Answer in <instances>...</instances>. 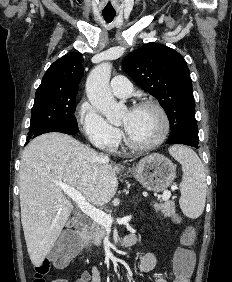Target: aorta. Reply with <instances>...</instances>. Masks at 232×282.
Here are the masks:
<instances>
[{
  "mask_svg": "<svg viewBox=\"0 0 232 282\" xmlns=\"http://www.w3.org/2000/svg\"><path fill=\"white\" fill-rule=\"evenodd\" d=\"M112 64L104 62L95 66L86 81V93L90 103L112 124L121 121L125 105L117 103L109 87Z\"/></svg>",
  "mask_w": 232,
  "mask_h": 282,
  "instance_id": "762f6f07",
  "label": "aorta"
}]
</instances>
